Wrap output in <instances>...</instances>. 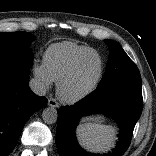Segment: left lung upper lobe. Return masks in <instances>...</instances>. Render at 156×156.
Listing matches in <instances>:
<instances>
[{
  "label": "left lung upper lobe",
  "instance_id": "1",
  "mask_svg": "<svg viewBox=\"0 0 156 156\" xmlns=\"http://www.w3.org/2000/svg\"><path fill=\"white\" fill-rule=\"evenodd\" d=\"M110 53L105 74L97 86L126 84L141 86V76L135 63L128 57L122 47L115 41L105 40Z\"/></svg>",
  "mask_w": 156,
  "mask_h": 156
}]
</instances>
